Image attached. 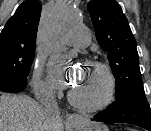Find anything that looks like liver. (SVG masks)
<instances>
[{"label": "liver", "mask_w": 151, "mask_h": 131, "mask_svg": "<svg viewBox=\"0 0 151 131\" xmlns=\"http://www.w3.org/2000/svg\"><path fill=\"white\" fill-rule=\"evenodd\" d=\"M0 131H63L44 106L26 95L0 96Z\"/></svg>", "instance_id": "1"}]
</instances>
